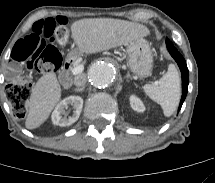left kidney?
<instances>
[{"instance_id":"obj_1","label":"left kidney","mask_w":215,"mask_h":183,"mask_svg":"<svg viewBox=\"0 0 215 183\" xmlns=\"http://www.w3.org/2000/svg\"><path fill=\"white\" fill-rule=\"evenodd\" d=\"M130 105L132 109L135 110L136 112L142 113L145 110L143 102L135 95H132L130 97Z\"/></svg>"}]
</instances>
